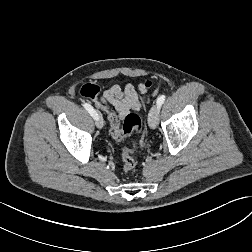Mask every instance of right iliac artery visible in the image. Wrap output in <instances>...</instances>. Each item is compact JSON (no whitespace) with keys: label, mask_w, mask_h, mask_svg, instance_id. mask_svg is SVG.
<instances>
[{"label":"right iliac artery","mask_w":252,"mask_h":252,"mask_svg":"<svg viewBox=\"0 0 252 252\" xmlns=\"http://www.w3.org/2000/svg\"><path fill=\"white\" fill-rule=\"evenodd\" d=\"M84 108L90 113V115L96 120L98 118V114L97 112L94 110V108L88 104V103H85L84 105Z\"/></svg>","instance_id":"right-iliac-artery-1"}]
</instances>
